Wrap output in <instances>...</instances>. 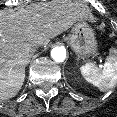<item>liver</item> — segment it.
Instances as JSON below:
<instances>
[{"mask_svg":"<svg viewBox=\"0 0 117 117\" xmlns=\"http://www.w3.org/2000/svg\"><path fill=\"white\" fill-rule=\"evenodd\" d=\"M89 15L87 6L69 0L0 11V101L14 97L25 79L29 52Z\"/></svg>","mask_w":117,"mask_h":117,"instance_id":"1","label":"liver"}]
</instances>
